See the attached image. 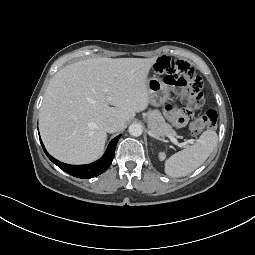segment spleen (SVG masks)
<instances>
[{
  "label": "spleen",
  "instance_id": "1",
  "mask_svg": "<svg viewBox=\"0 0 255 255\" xmlns=\"http://www.w3.org/2000/svg\"><path fill=\"white\" fill-rule=\"evenodd\" d=\"M217 133L204 131L195 144L173 154L165 161V173L170 177H184L201 166L216 148ZM160 160L166 158L164 152L159 153Z\"/></svg>",
  "mask_w": 255,
  "mask_h": 255
}]
</instances>
